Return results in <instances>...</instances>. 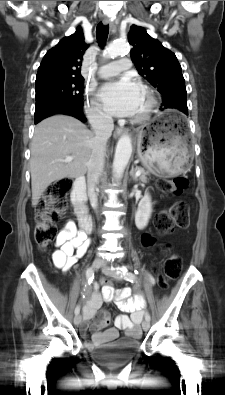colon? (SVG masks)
<instances>
[{"label":"colon","instance_id":"1","mask_svg":"<svg viewBox=\"0 0 225 395\" xmlns=\"http://www.w3.org/2000/svg\"><path fill=\"white\" fill-rule=\"evenodd\" d=\"M188 185L184 176L165 178L158 182L159 189L167 196L173 197L182 194ZM72 188V180L63 178L53 182L43 194L38 206L35 223V241L41 250H45L58 235L56 221L60 218L67 204V194ZM190 223V207L185 201H178L170 208L162 210L155 219V228L161 235L172 233L175 229H184ZM144 246H151L154 238L146 234L142 237ZM182 270V260L178 255H171L164 262L163 275L159 284L162 288L177 279ZM153 275H160V268H153ZM101 285H111V278H101Z\"/></svg>","mask_w":225,"mask_h":395}]
</instances>
